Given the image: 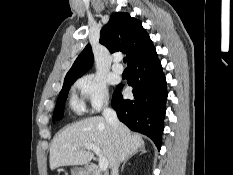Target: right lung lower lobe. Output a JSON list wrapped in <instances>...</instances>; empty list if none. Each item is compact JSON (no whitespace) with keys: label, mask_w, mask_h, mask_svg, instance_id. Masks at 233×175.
<instances>
[{"label":"right lung lower lobe","mask_w":233,"mask_h":175,"mask_svg":"<svg viewBox=\"0 0 233 175\" xmlns=\"http://www.w3.org/2000/svg\"><path fill=\"white\" fill-rule=\"evenodd\" d=\"M134 99H123L120 85L114 92L112 107L121 122L131 130L150 137L160 149L166 113V78L156 50L130 66Z\"/></svg>","instance_id":"98d812e1"}]
</instances>
